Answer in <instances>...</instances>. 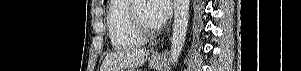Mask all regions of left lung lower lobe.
I'll return each mask as SVG.
<instances>
[{
  "label": "left lung lower lobe",
  "mask_w": 301,
  "mask_h": 71,
  "mask_svg": "<svg viewBox=\"0 0 301 71\" xmlns=\"http://www.w3.org/2000/svg\"><path fill=\"white\" fill-rule=\"evenodd\" d=\"M202 10H203V4H202V2L201 1H197L195 3V11H196V13H197L198 16L201 15Z\"/></svg>",
  "instance_id": "left-lung-lower-lobe-1"
}]
</instances>
